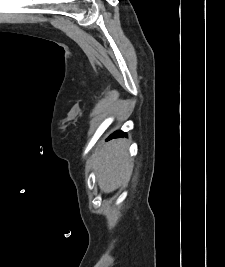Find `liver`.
<instances>
[{
    "label": "liver",
    "instance_id": "liver-1",
    "mask_svg": "<svg viewBox=\"0 0 225 267\" xmlns=\"http://www.w3.org/2000/svg\"><path fill=\"white\" fill-rule=\"evenodd\" d=\"M128 143L123 139L113 140L96 150L87 162V168L96 171L101 191L110 193L129 180L133 163L128 157Z\"/></svg>",
    "mask_w": 225,
    "mask_h": 267
}]
</instances>
